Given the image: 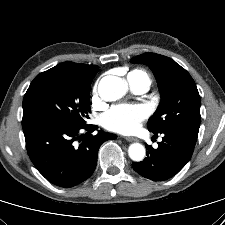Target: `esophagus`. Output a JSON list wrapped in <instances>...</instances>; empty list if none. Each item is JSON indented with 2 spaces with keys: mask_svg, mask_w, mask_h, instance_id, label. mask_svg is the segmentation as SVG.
Returning <instances> with one entry per match:
<instances>
[{
  "mask_svg": "<svg viewBox=\"0 0 225 225\" xmlns=\"http://www.w3.org/2000/svg\"><path fill=\"white\" fill-rule=\"evenodd\" d=\"M125 139H126L128 142H135V141H138V139L135 138V137H125Z\"/></svg>",
  "mask_w": 225,
  "mask_h": 225,
  "instance_id": "34e87169",
  "label": "esophagus"
}]
</instances>
